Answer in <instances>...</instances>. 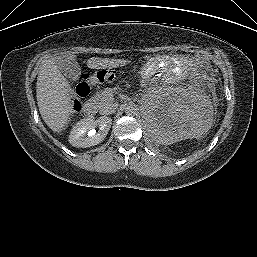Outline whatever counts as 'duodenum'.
<instances>
[{
	"label": "duodenum",
	"mask_w": 257,
	"mask_h": 257,
	"mask_svg": "<svg viewBox=\"0 0 257 257\" xmlns=\"http://www.w3.org/2000/svg\"><path fill=\"white\" fill-rule=\"evenodd\" d=\"M82 114L86 117H93L96 114V105L88 101L82 107Z\"/></svg>",
	"instance_id": "duodenum-1"
}]
</instances>
